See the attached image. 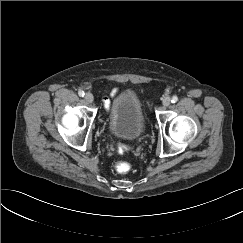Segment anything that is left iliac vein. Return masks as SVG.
Masks as SVG:
<instances>
[{
    "mask_svg": "<svg viewBox=\"0 0 243 243\" xmlns=\"http://www.w3.org/2000/svg\"><path fill=\"white\" fill-rule=\"evenodd\" d=\"M171 103L170 97H165L162 101L163 106H169Z\"/></svg>",
    "mask_w": 243,
    "mask_h": 243,
    "instance_id": "1",
    "label": "left iliac vein"
}]
</instances>
